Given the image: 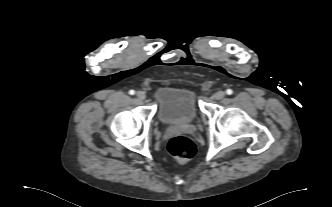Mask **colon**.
I'll use <instances>...</instances> for the list:
<instances>
[{"label":"colon","instance_id":"obj_1","mask_svg":"<svg viewBox=\"0 0 332 207\" xmlns=\"http://www.w3.org/2000/svg\"><path fill=\"white\" fill-rule=\"evenodd\" d=\"M168 151L180 161L191 159L196 153L193 141L183 135L172 137L167 145Z\"/></svg>","mask_w":332,"mask_h":207}]
</instances>
